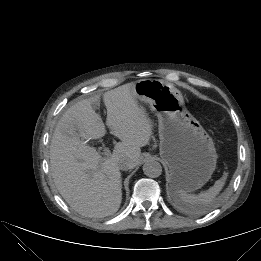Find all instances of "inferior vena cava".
<instances>
[{
    "label": "inferior vena cava",
    "instance_id": "1",
    "mask_svg": "<svg viewBox=\"0 0 261 261\" xmlns=\"http://www.w3.org/2000/svg\"><path fill=\"white\" fill-rule=\"evenodd\" d=\"M118 166H119V169H121V170H128V169L132 168L131 162L126 159H121L119 161Z\"/></svg>",
    "mask_w": 261,
    "mask_h": 261
}]
</instances>
